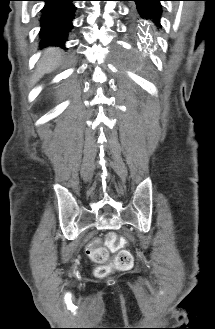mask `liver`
I'll return each mask as SVG.
<instances>
[{
    "label": "liver",
    "instance_id": "6515ba94",
    "mask_svg": "<svg viewBox=\"0 0 215 329\" xmlns=\"http://www.w3.org/2000/svg\"><path fill=\"white\" fill-rule=\"evenodd\" d=\"M60 52L55 48L46 49L42 59L37 65L36 73L33 77L34 83L37 82L44 74L49 73L59 66Z\"/></svg>",
    "mask_w": 215,
    "mask_h": 329
}]
</instances>
